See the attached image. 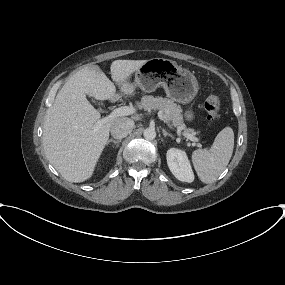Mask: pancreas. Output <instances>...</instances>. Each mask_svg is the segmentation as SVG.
<instances>
[{
  "label": "pancreas",
  "instance_id": "1",
  "mask_svg": "<svg viewBox=\"0 0 285 285\" xmlns=\"http://www.w3.org/2000/svg\"><path fill=\"white\" fill-rule=\"evenodd\" d=\"M140 107L145 110H163L164 117L179 130L185 133H194L192 129H187L183 123L182 109L173 100L163 97L144 96L141 99Z\"/></svg>",
  "mask_w": 285,
  "mask_h": 285
}]
</instances>
